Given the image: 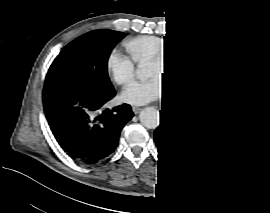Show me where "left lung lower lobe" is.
Masks as SVG:
<instances>
[{
	"label": "left lung lower lobe",
	"mask_w": 270,
	"mask_h": 213,
	"mask_svg": "<svg viewBox=\"0 0 270 213\" xmlns=\"http://www.w3.org/2000/svg\"><path fill=\"white\" fill-rule=\"evenodd\" d=\"M189 119L195 123L190 132L185 129ZM226 123L221 96L202 101L173 100L160 110V125L154 131L158 152L172 164L196 161L215 150Z\"/></svg>",
	"instance_id": "left-lung-lower-lobe-1"
}]
</instances>
